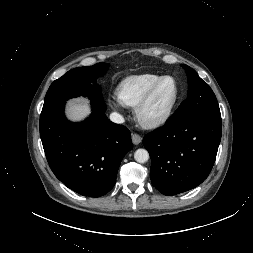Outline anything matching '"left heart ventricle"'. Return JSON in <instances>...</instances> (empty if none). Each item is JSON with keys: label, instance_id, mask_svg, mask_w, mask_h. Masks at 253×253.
I'll return each instance as SVG.
<instances>
[{"label": "left heart ventricle", "instance_id": "obj_1", "mask_svg": "<svg viewBox=\"0 0 253 253\" xmlns=\"http://www.w3.org/2000/svg\"><path fill=\"white\" fill-rule=\"evenodd\" d=\"M174 92H175L174 82L171 79L165 80L158 89L150 105L146 109L145 112L146 118L154 119L160 116L168 106L169 102L171 101Z\"/></svg>", "mask_w": 253, "mask_h": 253}]
</instances>
